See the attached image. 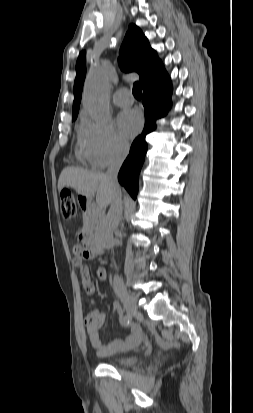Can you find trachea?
<instances>
[{
	"instance_id": "1",
	"label": "trachea",
	"mask_w": 253,
	"mask_h": 413,
	"mask_svg": "<svg viewBox=\"0 0 253 413\" xmlns=\"http://www.w3.org/2000/svg\"><path fill=\"white\" fill-rule=\"evenodd\" d=\"M133 95L136 98H141L142 97V87L139 82H135L133 86Z\"/></svg>"
}]
</instances>
